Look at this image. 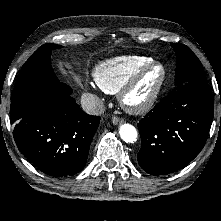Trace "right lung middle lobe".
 <instances>
[{"label": "right lung middle lobe", "instance_id": "right-lung-middle-lobe-1", "mask_svg": "<svg viewBox=\"0 0 221 221\" xmlns=\"http://www.w3.org/2000/svg\"><path fill=\"white\" fill-rule=\"evenodd\" d=\"M61 48L56 44H44L39 47L23 65L18 75L12 96L18 92L45 81H56L51 66V51Z\"/></svg>", "mask_w": 221, "mask_h": 221}]
</instances>
